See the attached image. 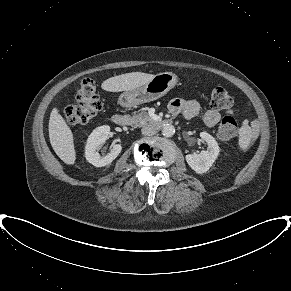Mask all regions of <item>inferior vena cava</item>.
<instances>
[{"mask_svg": "<svg viewBox=\"0 0 291 291\" xmlns=\"http://www.w3.org/2000/svg\"><path fill=\"white\" fill-rule=\"evenodd\" d=\"M143 135L152 136L156 133V128L152 124H147L141 129Z\"/></svg>", "mask_w": 291, "mask_h": 291, "instance_id": "1", "label": "inferior vena cava"}]
</instances>
